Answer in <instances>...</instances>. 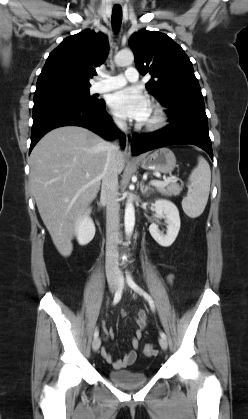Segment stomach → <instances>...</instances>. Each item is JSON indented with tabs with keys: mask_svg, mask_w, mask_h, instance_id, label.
I'll return each instance as SVG.
<instances>
[{
	"mask_svg": "<svg viewBox=\"0 0 248 419\" xmlns=\"http://www.w3.org/2000/svg\"><path fill=\"white\" fill-rule=\"evenodd\" d=\"M140 164L145 170L170 173L176 167V158L170 149L160 148L143 158Z\"/></svg>",
	"mask_w": 248,
	"mask_h": 419,
	"instance_id": "1",
	"label": "stomach"
}]
</instances>
